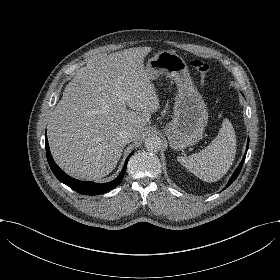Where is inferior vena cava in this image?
<instances>
[{
  "mask_svg": "<svg viewBox=\"0 0 280 280\" xmlns=\"http://www.w3.org/2000/svg\"><path fill=\"white\" fill-rule=\"evenodd\" d=\"M118 135L125 144L130 143L134 138V134L128 130H121Z\"/></svg>",
  "mask_w": 280,
  "mask_h": 280,
  "instance_id": "1",
  "label": "inferior vena cava"
}]
</instances>
